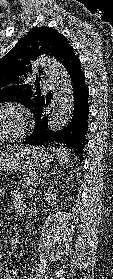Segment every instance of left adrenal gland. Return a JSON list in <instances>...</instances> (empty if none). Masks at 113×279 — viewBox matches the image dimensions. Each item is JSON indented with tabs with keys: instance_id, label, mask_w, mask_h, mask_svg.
<instances>
[{
	"instance_id": "obj_1",
	"label": "left adrenal gland",
	"mask_w": 113,
	"mask_h": 279,
	"mask_svg": "<svg viewBox=\"0 0 113 279\" xmlns=\"http://www.w3.org/2000/svg\"><path fill=\"white\" fill-rule=\"evenodd\" d=\"M53 173H54V171H53V172H50L49 174H44V175H43V178H40L39 181L35 182V184L33 185V188L30 189L29 194H31V195L34 194L35 191H36V187H37L41 182H43L44 179H45L47 176H49L50 174H53Z\"/></svg>"
}]
</instances>
